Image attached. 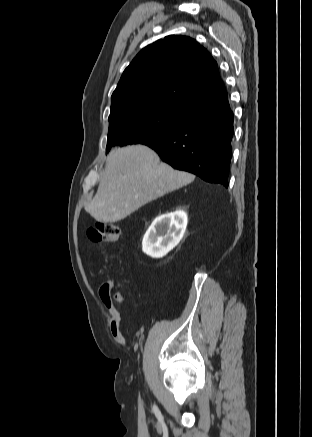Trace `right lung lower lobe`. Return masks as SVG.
Masks as SVG:
<instances>
[{
    "instance_id": "1",
    "label": "right lung lower lobe",
    "mask_w": 312,
    "mask_h": 437,
    "mask_svg": "<svg viewBox=\"0 0 312 437\" xmlns=\"http://www.w3.org/2000/svg\"><path fill=\"white\" fill-rule=\"evenodd\" d=\"M233 113L225 93L193 111L178 129L145 144L175 169L191 172L209 183L228 187Z\"/></svg>"
}]
</instances>
